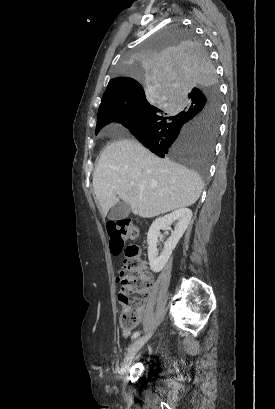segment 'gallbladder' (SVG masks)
<instances>
[{
	"mask_svg": "<svg viewBox=\"0 0 275 409\" xmlns=\"http://www.w3.org/2000/svg\"><path fill=\"white\" fill-rule=\"evenodd\" d=\"M128 215H130L129 205H126V202H116L108 215V219L109 221H121V219H127Z\"/></svg>",
	"mask_w": 275,
	"mask_h": 409,
	"instance_id": "bac80fb5",
	"label": "gallbladder"
}]
</instances>
